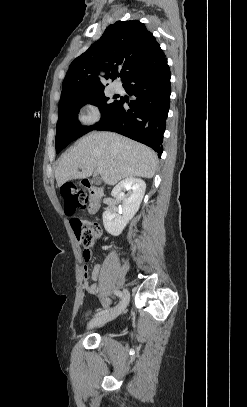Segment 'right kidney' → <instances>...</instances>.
<instances>
[{
	"label": "right kidney",
	"mask_w": 247,
	"mask_h": 407,
	"mask_svg": "<svg viewBox=\"0 0 247 407\" xmlns=\"http://www.w3.org/2000/svg\"><path fill=\"white\" fill-rule=\"evenodd\" d=\"M126 190L129 191L128 194H125ZM145 190V182L138 178H126L113 188L111 195L122 201V210L120 213L110 210L103 213V224L109 234L119 236L122 233L129 220L139 210Z\"/></svg>",
	"instance_id": "1"
}]
</instances>
